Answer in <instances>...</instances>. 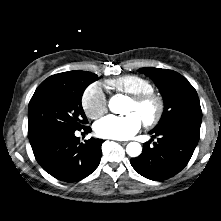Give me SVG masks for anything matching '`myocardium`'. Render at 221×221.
Here are the masks:
<instances>
[{
	"instance_id": "obj_1",
	"label": "myocardium",
	"mask_w": 221,
	"mask_h": 221,
	"mask_svg": "<svg viewBox=\"0 0 221 221\" xmlns=\"http://www.w3.org/2000/svg\"><path fill=\"white\" fill-rule=\"evenodd\" d=\"M130 101L138 108H144L149 105L153 107L152 113L142 118L143 123L146 126H153L157 124L164 114V100L159 94L155 93L154 91L132 95L130 97Z\"/></svg>"
}]
</instances>
